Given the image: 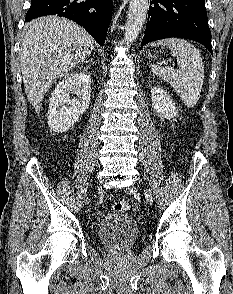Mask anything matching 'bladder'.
Returning <instances> with one entry per match:
<instances>
[{
	"label": "bladder",
	"mask_w": 233,
	"mask_h": 294,
	"mask_svg": "<svg viewBox=\"0 0 233 294\" xmlns=\"http://www.w3.org/2000/svg\"><path fill=\"white\" fill-rule=\"evenodd\" d=\"M97 237L109 250L128 251L138 240L139 228L130 215L123 212L109 213L100 222Z\"/></svg>",
	"instance_id": "31cf9c89"
}]
</instances>
